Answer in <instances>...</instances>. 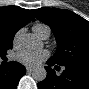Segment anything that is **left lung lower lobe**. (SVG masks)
<instances>
[{"label":"left lung lower lobe","instance_id":"left-lung-lower-lobe-1","mask_svg":"<svg viewBox=\"0 0 89 89\" xmlns=\"http://www.w3.org/2000/svg\"><path fill=\"white\" fill-rule=\"evenodd\" d=\"M47 65V77L38 83L39 89H89V65L65 66L60 76L49 67L55 65L51 59L47 61Z\"/></svg>","mask_w":89,"mask_h":89}]
</instances>
